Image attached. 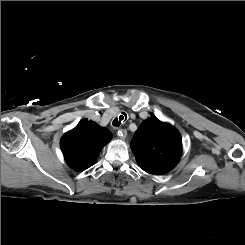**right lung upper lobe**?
Wrapping results in <instances>:
<instances>
[{"label": "right lung upper lobe", "mask_w": 245, "mask_h": 245, "mask_svg": "<svg viewBox=\"0 0 245 245\" xmlns=\"http://www.w3.org/2000/svg\"><path fill=\"white\" fill-rule=\"evenodd\" d=\"M111 137L108 129L93 121L82 120L61 138L60 147L67 163L73 169L82 171L95 163Z\"/></svg>", "instance_id": "cb5924a9"}]
</instances>
